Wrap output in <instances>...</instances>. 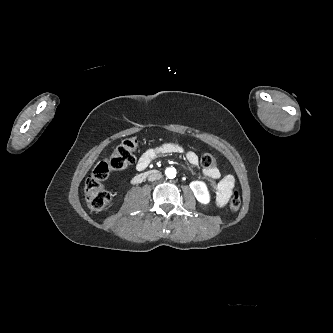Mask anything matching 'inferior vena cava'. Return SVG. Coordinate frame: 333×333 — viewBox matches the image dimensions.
I'll return each mask as SVG.
<instances>
[{"label": "inferior vena cava", "instance_id": "obj_1", "mask_svg": "<svg viewBox=\"0 0 333 333\" xmlns=\"http://www.w3.org/2000/svg\"><path fill=\"white\" fill-rule=\"evenodd\" d=\"M161 177H162V175L160 173H155V174L149 175L148 180L149 181H155V180L160 179Z\"/></svg>", "mask_w": 333, "mask_h": 333}]
</instances>
